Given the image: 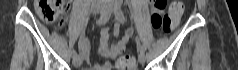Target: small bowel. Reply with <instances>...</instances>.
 <instances>
[{"label": "small bowel", "mask_w": 238, "mask_h": 70, "mask_svg": "<svg viewBox=\"0 0 238 70\" xmlns=\"http://www.w3.org/2000/svg\"><path fill=\"white\" fill-rule=\"evenodd\" d=\"M158 12L159 14L163 13L162 10H154L152 12ZM62 24V23H61ZM120 28L119 25L116 24L113 26L112 30L107 27H104L100 31L99 37V54L107 59L116 58L126 47L127 44H124L121 41L115 42L113 44H109V38L111 35L117 36L119 34ZM125 33H132L131 29H128ZM89 49L90 44L89 40L86 37H82L79 41V51L81 56L88 61L89 60ZM88 70H111V64L109 61H105L101 64H96L94 68Z\"/></svg>", "instance_id": "small-bowel-1"}]
</instances>
